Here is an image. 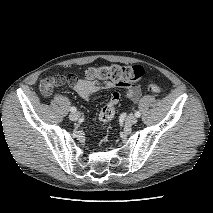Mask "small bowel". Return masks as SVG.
I'll list each match as a JSON object with an SVG mask.
<instances>
[{"instance_id":"c3829d8e","label":"small bowel","mask_w":213,"mask_h":213,"mask_svg":"<svg viewBox=\"0 0 213 213\" xmlns=\"http://www.w3.org/2000/svg\"><path fill=\"white\" fill-rule=\"evenodd\" d=\"M68 84L71 88L83 99L88 100L89 97L100 90H108L115 87V83L110 81H98L90 79H77L75 78L71 83H57L52 77L45 78L41 84L40 89L43 95L50 96L56 86ZM141 91L138 86L130 87L127 91V97L135 102L140 97Z\"/></svg>"}]
</instances>
